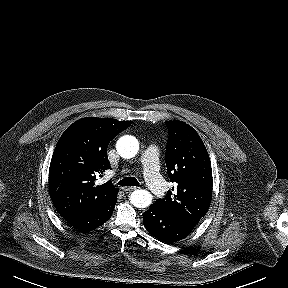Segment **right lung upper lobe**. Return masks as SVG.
<instances>
[{"label": "right lung upper lobe", "instance_id": "1", "mask_svg": "<svg viewBox=\"0 0 288 288\" xmlns=\"http://www.w3.org/2000/svg\"><path fill=\"white\" fill-rule=\"evenodd\" d=\"M131 123L86 117L64 131L49 168L50 196L63 218L89 213L117 195L119 190L111 181L97 186L95 180L111 169L107 157L110 140Z\"/></svg>", "mask_w": 288, "mask_h": 288}]
</instances>
